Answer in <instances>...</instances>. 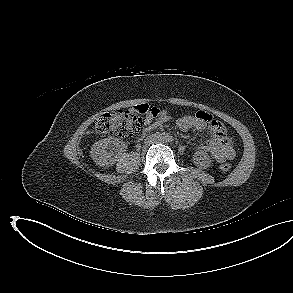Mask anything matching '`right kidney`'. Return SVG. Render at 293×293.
<instances>
[{"label": "right kidney", "instance_id": "obj_1", "mask_svg": "<svg viewBox=\"0 0 293 293\" xmlns=\"http://www.w3.org/2000/svg\"><path fill=\"white\" fill-rule=\"evenodd\" d=\"M127 148L125 142L117 138H105L95 142L91 148V158L96 165L112 166L117 161L115 151H124Z\"/></svg>", "mask_w": 293, "mask_h": 293}]
</instances>
